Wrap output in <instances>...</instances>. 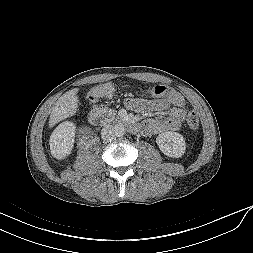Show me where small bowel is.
Instances as JSON below:
<instances>
[{
    "mask_svg": "<svg viewBox=\"0 0 253 253\" xmlns=\"http://www.w3.org/2000/svg\"><path fill=\"white\" fill-rule=\"evenodd\" d=\"M156 97L153 100L132 98L127 101V106L138 113L168 112V117L165 119L151 118L143 122L142 130L146 135L178 130L185 117L184 98L176 91Z\"/></svg>",
    "mask_w": 253,
    "mask_h": 253,
    "instance_id": "c3829d8e",
    "label": "small bowel"
}]
</instances>
